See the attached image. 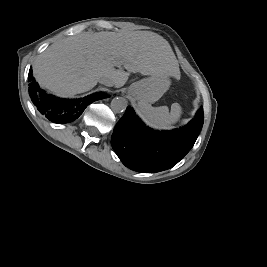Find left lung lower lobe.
I'll use <instances>...</instances> for the list:
<instances>
[{
    "label": "left lung lower lobe",
    "instance_id": "obj_1",
    "mask_svg": "<svg viewBox=\"0 0 267 267\" xmlns=\"http://www.w3.org/2000/svg\"><path fill=\"white\" fill-rule=\"evenodd\" d=\"M203 108L188 126L172 131H154L146 127L127 108L117 122L112 137V147L128 168L144 173H154L173 167L194 145L203 125Z\"/></svg>",
    "mask_w": 267,
    "mask_h": 267
}]
</instances>
